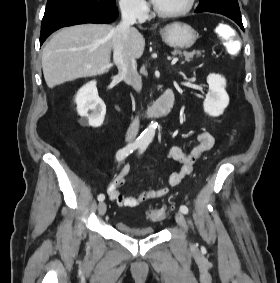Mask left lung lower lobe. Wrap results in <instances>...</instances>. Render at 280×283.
Returning a JSON list of instances; mask_svg holds the SVG:
<instances>
[{"instance_id": "1", "label": "left lung lower lobe", "mask_w": 280, "mask_h": 283, "mask_svg": "<svg viewBox=\"0 0 280 283\" xmlns=\"http://www.w3.org/2000/svg\"><path fill=\"white\" fill-rule=\"evenodd\" d=\"M196 12V11H195ZM231 18L233 21H235L242 30H244V27H243V24H242V20L241 18H238V17H229Z\"/></svg>"}]
</instances>
